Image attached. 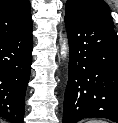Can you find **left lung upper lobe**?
I'll return each mask as SVG.
<instances>
[{"label":"left lung upper lobe","instance_id":"obj_1","mask_svg":"<svg viewBox=\"0 0 118 123\" xmlns=\"http://www.w3.org/2000/svg\"><path fill=\"white\" fill-rule=\"evenodd\" d=\"M65 17L113 27L110 8L104 0H68Z\"/></svg>","mask_w":118,"mask_h":123}]
</instances>
